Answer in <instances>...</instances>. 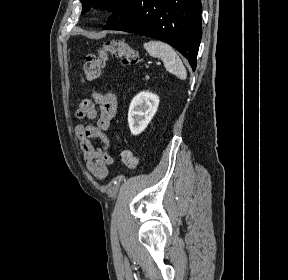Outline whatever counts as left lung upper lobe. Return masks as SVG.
<instances>
[{"label": "left lung upper lobe", "mask_w": 288, "mask_h": 280, "mask_svg": "<svg viewBox=\"0 0 288 280\" xmlns=\"http://www.w3.org/2000/svg\"><path fill=\"white\" fill-rule=\"evenodd\" d=\"M81 2L83 7L82 13L88 12L92 7L107 9L113 12L107 22H113L126 11L133 0H81Z\"/></svg>", "instance_id": "1"}]
</instances>
